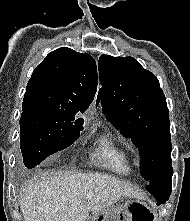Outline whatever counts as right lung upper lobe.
I'll use <instances>...</instances> for the list:
<instances>
[{
    "label": "right lung upper lobe",
    "mask_w": 190,
    "mask_h": 221,
    "mask_svg": "<svg viewBox=\"0 0 190 221\" xmlns=\"http://www.w3.org/2000/svg\"><path fill=\"white\" fill-rule=\"evenodd\" d=\"M97 90L93 57L62 47L50 52L33 71L22 110L76 115L91 104Z\"/></svg>",
    "instance_id": "1"
}]
</instances>
